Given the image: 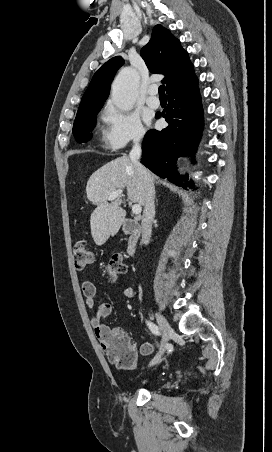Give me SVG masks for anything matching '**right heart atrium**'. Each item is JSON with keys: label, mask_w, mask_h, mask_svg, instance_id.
Listing matches in <instances>:
<instances>
[{"label": "right heart atrium", "mask_w": 272, "mask_h": 452, "mask_svg": "<svg viewBox=\"0 0 272 452\" xmlns=\"http://www.w3.org/2000/svg\"><path fill=\"white\" fill-rule=\"evenodd\" d=\"M101 118L105 125L102 139L107 149H121L130 142H140L144 137L145 130L135 113L120 110L109 102L104 107Z\"/></svg>", "instance_id": "right-heart-atrium-1"}]
</instances>
